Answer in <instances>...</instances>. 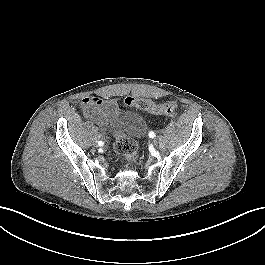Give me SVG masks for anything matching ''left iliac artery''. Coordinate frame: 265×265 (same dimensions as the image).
I'll return each mask as SVG.
<instances>
[{"label":"left iliac artery","mask_w":265,"mask_h":265,"mask_svg":"<svg viewBox=\"0 0 265 265\" xmlns=\"http://www.w3.org/2000/svg\"><path fill=\"white\" fill-rule=\"evenodd\" d=\"M156 135H155V133L153 132V131H151V132H149V137L150 138H154Z\"/></svg>","instance_id":"obj_1"}]
</instances>
